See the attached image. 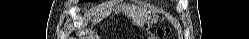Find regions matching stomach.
Segmentation results:
<instances>
[{"instance_id":"1","label":"stomach","mask_w":249,"mask_h":39,"mask_svg":"<svg viewBox=\"0 0 249 39\" xmlns=\"http://www.w3.org/2000/svg\"><path fill=\"white\" fill-rule=\"evenodd\" d=\"M149 22L153 23V20L149 18L148 21H147V23H149Z\"/></svg>"}]
</instances>
